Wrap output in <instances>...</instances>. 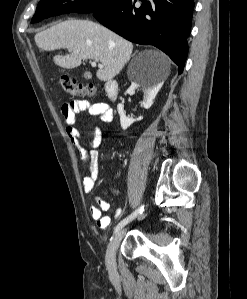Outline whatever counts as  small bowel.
<instances>
[{
  "label": "small bowel",
  "mask_w": 247,
  "mask_h": 299,
  "mask_svg": "<svg viewBox=\"0 0 247 299\" xmlns=\"http://www.w3.org/2000/svg\"><path fill=\"white\" fill-rule=\"evenodd\" d=\"M84 111H87L92 116H98L105 123L112 121L113 113L107 103L90 102L88 100H72L63 104L61 108L65 123V132L69 140L79 147L83 167L86 171V176L82 180L83 190L85 193H91L99 177L97 148L101 144L102 133L99 128L94 129L93 138L89 141L90 150L80 145L81 134L76 127V122L77 115ZM114 193H116V190H114ZM96 204L90 207V215L96 221L99 228L106 229L111 223V218L108 215H104L103 212L109 211L111 205L99 196L96 197ZM122 214V209L117 208L114 214L115 219L121 218Z\"/></svg>",
  "instance_id": "obj_1"
}]
</instances>
